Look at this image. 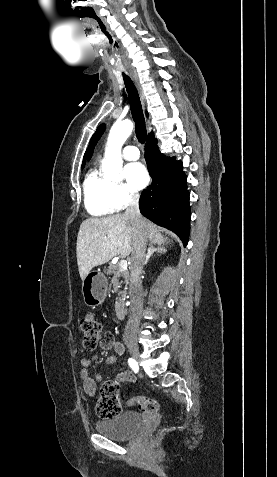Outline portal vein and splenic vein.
<instances>
[{
  "instance_id": "obj_1",
  "label": "portal vein and splenic vein",
  "mask_w": 277,
  "mask_h": 477,
  "mask_svg": "<svg viewBox=\"0 0 277 477\" xmlns=\"http://www.w3.org/2000/svg\"><path fill=\"white\" fill-rule=\"evenodd\" d=\"M119 267H120L121 270H126L127 267H128L127 260L122 259V260L119 262Z\"/></svg>"
}]
</instances>
